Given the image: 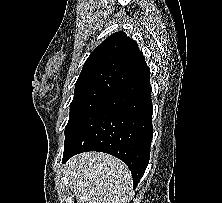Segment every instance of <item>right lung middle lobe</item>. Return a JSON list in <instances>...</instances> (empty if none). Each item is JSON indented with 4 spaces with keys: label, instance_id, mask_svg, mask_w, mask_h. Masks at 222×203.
<instances>
[{
    "label": "right lung middle lobe",
    "instance_id": "right-lung-middle-lobe-1",
    "mask_svg": "<svg viewBox=\"0 0 222 203\" xmlns=\"http://www.w3.org/2000/svg\"><path fill=\"white\" fill-rule=\"evenodd\" d=\"M112 94V92L101 89L75 91L74 98L70 105V117L65 127V135L94 109L105 102Z\"/></svg>",
    "mask_w": 222,
    "mask_h": 203
}]
</instances>
